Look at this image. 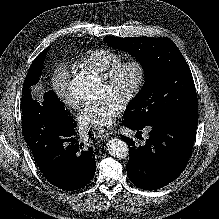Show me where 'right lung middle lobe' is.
Masks as SVG:
<instances>
[{
    "label": "right lung middle lobe",
    "mask_w": 219,
    "mask_h": 219,
    "mask_svg": "<svg viewBox=\"0 0 219 219\" xmlns=\"http://www.w3.org/2000/svg\"><path fill=\"white\" fill-rule=\"evenodd\" d=\"M49 48L50 46L43 50L32 62L23 84L22 96L26 91L30 90V87L32 85L36 84L39 81V77L42 73L44 58ZM42 105L59 112L65 117H71L68 109L65 108L64 104L59 100V98L53 91H48L44 94V101Z\"/></svg>",
    "instance_id": "dd1d6c3e"
}]
</instances>
